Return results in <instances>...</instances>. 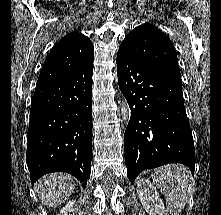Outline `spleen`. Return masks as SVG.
<instances>
[{"label": "spleen", "mask_w": 221, "mask_h": 215, "mask_svg": "<svg viewBox=\"0 0 221 215\" xmlns=\"http://www.w3.org/2000/svg\"><path fill=\"white\" fill-rule=\"evenodd\" d=\"M151 177L165 195L170 213L178 215L189 201L194 188L189 169L182 164H168L155 169Z\"/></svg>", "instance_id": "1"}]
</instances>
